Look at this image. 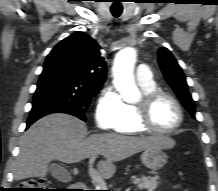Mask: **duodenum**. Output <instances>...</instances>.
Listing matches in <instances>:
<instances>
[{"instance_id":"1","label":"duodenum","mask_w":218,"mask_h":191,"mask_svg":"<svg viewBox=\"0 0 218 191\" xmlns=\"http://www.w3.org/2000/svg\"><path fill=\"white\" fill-rule=\"evenodd\" d=\"M86 189V184L83 181H79L75 184L73 190L71 191H85Z\"/></svg>"}]
</instances>
